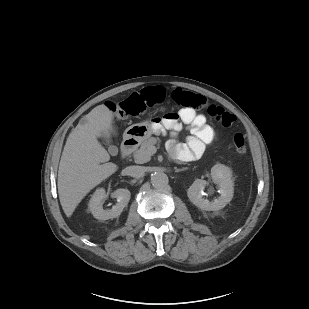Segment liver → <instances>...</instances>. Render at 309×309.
I'll return each instance as SVG.
<instances>
[{
  "label": "liver",
  "instance_id": "obj_1",
  "mask_svg": "<svg viewBox=\"0 0 309 309\" xmlns=\"http://www.w3.org/2000/svg\"><path fill=\"white\" fill-rule=\"evenodd\" d=\"M114 114L104 104L93 108L67 138L58 170V194L62 209L71 217L81 200L114 174L118 166L99 143L102 133L114 132ZM103 163V164H102Z\"/></svg>",
  "mask_w": 309,
  "mask_h": 309
}]
</instances>
